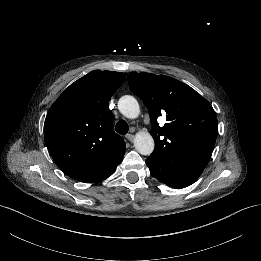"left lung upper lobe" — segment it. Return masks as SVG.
<instances>
[{"mask_svg": "<svg viewBox=\"0 0 261 261\" xmlns=\"http://www.w3.org/2000/svg\"><path fill=\"white\" fill-rule=\"evenodd\" d=\"M131 91L143 100L152 124L155 149L150 156L203 171L214 149L218 123L210 103L190 86L165 75L130 73ZM166 116L163 127L157 118Z\"/></svg>", "mask_w": 261, "mask_h": 261, "instance_id": "obj_1", "label": "left lung upper lobe"}]
</instances>
